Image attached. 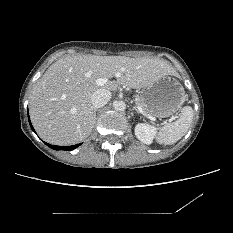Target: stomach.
I'll use <instances>...</instances> for the list:
<instances>
[{
  "mask_svg": "<svg viewBox=\"0 0 233 233\" xmlns=\"http://www.w3.org/2000/svg\"><path fill=\"white\" fill-rule=\"evenodd\" d=\"M140 97L151 114L158 117H168L180 109L185 100V91L180 82L170 76H165L145 87Z\"/></svg>",
  "mask_w": 233,
  "mask_h": 233,
  "instance_id": "stomach-1",
  "label": "stomach"
}]
</instances>
